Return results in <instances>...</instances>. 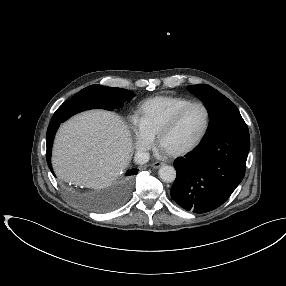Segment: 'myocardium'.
<instances>
[{
    "label": "myocardium",
    "mask_w": 286,
    "mask_h": 286,
    "mask_svg": "<svg viewBox=\"0 0 286 286\" xmlns=\"http://www.w3.org/2000/svg\"><path fill=\"white\" fill-rule=\"evenodd\" d=\"M194 106H200L203 108L204 112H205V125L204 128L201 132V134L199 135V137L195 140V142H193L190 146L181 149V150H177V151H165L162 147V142H163V138L164 136L173 128L175 127V125L179 122V120L182 118V116L192 107ZM210 123H211V114L210 111L208 109V107L202 103V102H191L187 105H185L184 107H182L181 109H179L159 130L158 134H157V144L158 147L163 150L166 154L172 156V157H180V156H184L187 155L191 152H193L194 150H196L201 143L203 142V140L205 139L209 128H210Z\"/></svg>",
    "instance_id": "1"
}]
</instances>
